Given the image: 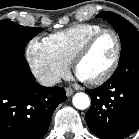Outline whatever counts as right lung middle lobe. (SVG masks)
Instances as JSON below:
<instances>
[{
  "label": "right lung middle lobe",
  "instance_id": "1",
  "mask_svg": "<svg viewBox=\"0 0 139 139\" xmlns=\"http://www.w3.org/2000/svg\"><path fill=\"white\" fill-rule=\"evenodd\" d=\"M43 28L23 27L9 20L0 21V48H13L24 53L29 40L40 33Z\"/></svg>",
  "mask_w": 139,
  "mask_h": 139
}]
</instances>
